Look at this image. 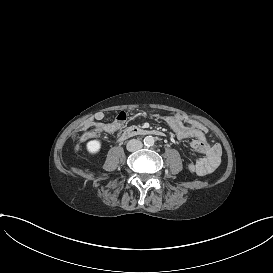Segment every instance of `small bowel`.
<instances>
[{
  "label": "small bowel",
  "instance_id": "c3829d8e",
  "mask_svg": "<svg viewBox=\"0 0 273 273\" xmlns=\"http://www.w3.org/2000/svg\"><path fill=\"white\" fill-rule=\"evenodd\" d=\"M104 117L105 115L101 111L95 113L92 117L94 120L93 129L90 131L80 129V132H82L86 138H92L102 132L118 134L128 121V115L124 111H120L116 117L109 122L103 121ZM160 119L174 132L178 139H192L191 147L205 156L195 164V171L198 175L205 176L218 167L222 155L221 145L208 142L206 138L207 128L203 124L180 113L163 116L160 117Z\"/></svg>",
  "mask_w": 273,
  "mask_h": 273
}]
</instances>
